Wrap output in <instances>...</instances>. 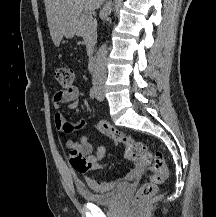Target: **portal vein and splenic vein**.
I'll return each instance as SVG.
<instances>
[{"instance_id": "1", "label": "portal vein and splenic vein", "mask_w": 216, "mask_h": 217, "mask_svg": "<svg viewBox=\"0 0 216 217\" xmlns=\"http://www.w3.org/2000/svg\"><path fill=\"white\" fill-rule=\"evenodd\" d=\"M89 18L92 19L93 17H92V16H89Z\"/></svg>"}]
</instances>
